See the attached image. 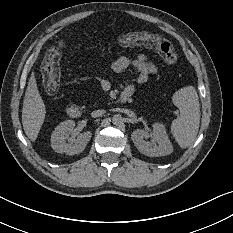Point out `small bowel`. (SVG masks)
I'll return each instance as SVG.
<instances>
[{
	"mask_svg": "<svg viewBox=\"0 0 233 233\" xmlns=\"http://www.w3.org/2000/svg\"><path fill=\"white\" fill-rule=\"evenodd\" d=\"M132 66L136 72L135 81L138 84H144L148 81L150 75L156 74L158 72L157 66L148 60L146 55L139 54L135 59L131 60L126 56H120L115 59L111 64V69L115 73H122L126 69ZM105 88H109V83L107 81L102 82ZM135 92V85L131 82H126L125 86L121 92V100L128 101L133 96Z\"/></svg>",
	"mask_w": 233,
	"mask_h": 233,
	"instance_id": "1",
	"label": "small bowel"
}]
</instances>
